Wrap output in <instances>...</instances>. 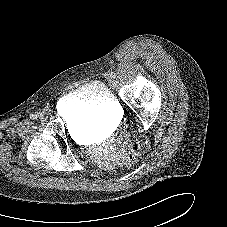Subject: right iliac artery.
I'll use <instances>...</instances> for the list:
<instances>
[{"instance_id": "1", "label": "right iliac artery", "mask_w": 227, "mask_h": 227, "mask_svg": "<svg viewBox=\"0 0 227 227\" xmlns=\"http://www.w3.org/2000/svg\"><path fill=\"white\" fill-rule=\"evenodd\" d=\"M30 118H31V119H37V115L32 114V115L30 116Z\"/></svg>"}]
</instances>
